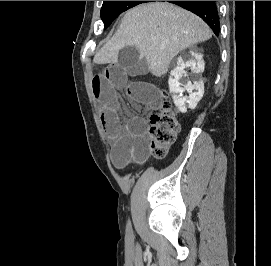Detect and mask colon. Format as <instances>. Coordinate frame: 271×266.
<instances>
[{
    "mask_svg": "<svg viewBox=\"0 0 271 266\" xmlns=\"http://www.w3.org/2000/svg\"><path fill=\"white\" fill-rule=\"evenodd\" d=\"M179 132V123L169 101L164 100L157 112L150 117V144L151 153L158 158L165 157L169 147L176 140Z\"/></svg>",
    "mask_w": 271,
    "mask_h": 266,
    "instance_id": "obj_1",
    "label": "colon"
}]
</instances>
